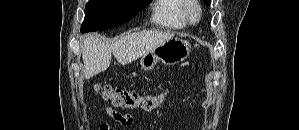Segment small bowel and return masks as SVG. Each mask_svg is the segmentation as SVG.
I'll return each mask as SVG.
<instances>
[{
  "mask_svg": "<svg viewBox=\"0 0 299 130\" xmlns=\"http://www.w3.org/2000/svg\"><path fill=\"white\" fill-rule=\"evenodd\" d=\"M105 111L113 120H115L117 123L123 126H129L132 124V117L127 113L118 112L111 107H106ZM99 129L100 130H120V129H114L108 123H102ZM140 130H144V129H140Z\"/></svg>",
  "mask_w": 299,
  "mask_h": 130,
  "instance_id": "small-bowel-1",
  "label": "small bowel"
}]
</instances>
